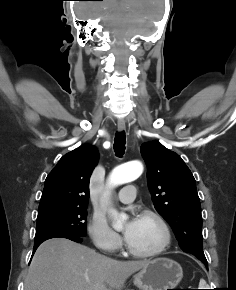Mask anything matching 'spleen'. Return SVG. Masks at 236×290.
<instances>
[{
	"label": "spleen",
	"mask_w": 236,
	"mask_h": 290,
	"mask_svg": "<svg viewBox=\"0 0 236 290\" xmlns=\"http://www.w3.org/2000/svg\"><path fill=\"white\" fill-rule=\"evenodd\" d=\"M205 285H206L205 280L201 279V280H200V283H199V286H200V287H204Z\"/></svg>",
	"instance_id": "3e777b00"
}]
</instances>
